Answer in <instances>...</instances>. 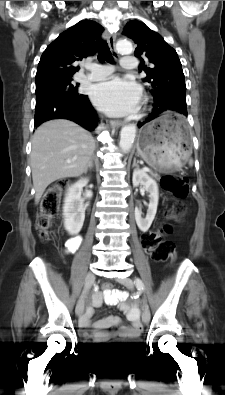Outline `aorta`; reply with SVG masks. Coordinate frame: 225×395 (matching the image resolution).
Instances as JSON below:
<instances>
[{
  "label": "aorta",
  "instance_id": "762f6f07",
  "mask_svg": "<svg viewBox=\"0 0 225 395\" xmlns=\"http://www.w3.org/2000/svg\"><path fill=\"white\" fill-rule=\"evenodd\" d=\"M116 50L120 54H131L134 49L132 43L126 39H120L116 43ZM136 136V126L133 124L126 125L121 129L119 146L123 151H129L132 148Z\"/></svg>",
  "mask_w": 225,
  "mask_h": 395
}]
</instances>
